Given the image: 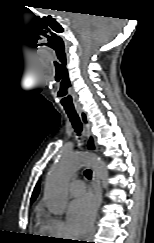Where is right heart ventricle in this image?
<instances>
[{
  "label": "right heart ventricle",
  "mask_w": 154,
  "mask_h": 243,
  "mask_svg": "<svg viewBox=\"0 0 154 243\" xmlns=\"http://www.w3.org/2000/svg\"><path fill=\"white\" fill-rule=\"evenodd\" d=\"M40 216H41V211H40V209H37V217L40 218ZM40 232H41L42 234L49 235V234L47 233V231L45 230V227H44V224H43V220H42V222H41Z\"/></svg>",
  "instance_id": "e07e8e85"
}]
</instances>
